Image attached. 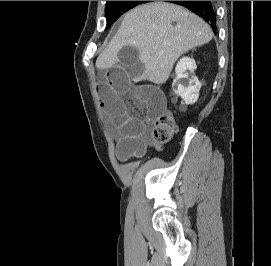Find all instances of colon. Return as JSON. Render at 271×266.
<instances>
[{"label": "colon", "instance_id": "obj_1", "mask_svg": "<svg viewBox=\"0 0 271 266\" xmlns=\"http://www.w3.org/2000/svg\"><path fill=\"white\" fill-rule=\"evenodd\" d=\"M177 130V125L174 116L170 112L161 114L156 120L152 138L157 145L167 143Z\"/></svg>", "mask_w": 271, "mask_h": 266}]
</instances>
